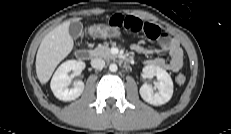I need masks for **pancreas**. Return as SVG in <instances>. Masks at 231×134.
Here are the masks:
<instances>
[{"mask_svg":"<svg viewBox=\"0 0 231 134\" xmlns=\"http://www.w3.org/2000/svg\"><path fill=\"white\" fill-rule=\"evenodd\" d=\"M91 55L94 57H102L105 59H115L116 56L110 52V48L105 45H101L91 50Z\"/></svg>","mask_w":231,"mask_h":134,"instance_id":"pancreas-1","label":"pancreas"}]
</instances>
